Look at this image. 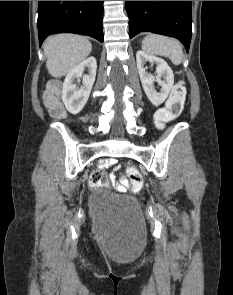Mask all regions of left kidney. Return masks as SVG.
<instances>
[{
	"instance_id": "1",
	"label": "left kidney",
	"mask_w": 233,
	"mask_h": 295,
	"mask_svg": "<svg viewBox=\"0 0 233 295\" xmlns=\"http://www.w3.org/2000/svg\"><path fill=\"white\" fill-rule=\"evenodd\" d=\"M136 61L145 94L154 106H159L166 100L173 87L174 75L172 69L162 58L149 55L142 50L137 51ZM146 62L155 63L157 65V75L154 76L146 72V68L144 67ZM155 81L161 86L159 92L153 88V83Z\"/></svg>"
}]
</instances>
